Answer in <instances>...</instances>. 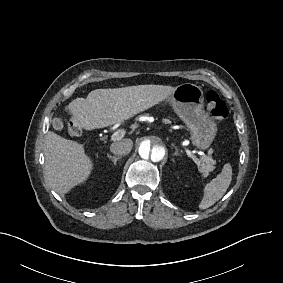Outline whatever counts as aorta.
I'll return each mask as SVG.
<instances>
[{
    "label": "aorta",
    "mask_w": 283,
    "mask_h": 283,
    "mask_svg": "<svg viewBox=\"0 0 283 283\" xmlns=\"http://www.w3.org/2000/svg\"><path fill=\"white\" fill-rule=\"evenodd\" d=\"M138 153L147 166H154L164 162L167 157L166 141L159 135L149 134L140 139Z\"/></svg>",
    "instance_id": "obj_1"
}]
</instances>
